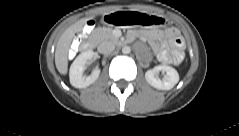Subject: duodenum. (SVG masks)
Wrapping results in <instances>:
<instances>
[{
	"instance_id": "1",
	"label": "duodenum",
	"mask_w": 239,
	"mask_h": 136,
	"mask_svg": "<svg viewBox=\"0 0 239 136\" xmlns=\"http://www.w3.org/2000/svg\"><path fill=\"white\" fill-rule=\"evenodd\" d=\"M84 33L78 35L74 40V45L76 47H81L83 50H90L93 46V42L91 40L84 41Z\"/></svg>"
}]
</instances>
